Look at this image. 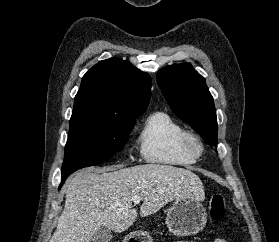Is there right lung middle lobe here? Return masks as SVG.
<instances>
[{
  "label": "right lung middle lobe",
  "mask_w": 279,
  "mask_h": 242,
  "mask_svg": "<svg viewBox=\"0 0 279 242\" xmlns=\"http://www.w3.org/2000/svg\"><path fill=\"white\" fill-rule=\"evenodd\" d=\"M135 120L71 116L61 179L78 169L98 165L121 151Z\"/></svg>",
  "instance_id": "right-lung-middle-lobe-1"
}]
</instances>
